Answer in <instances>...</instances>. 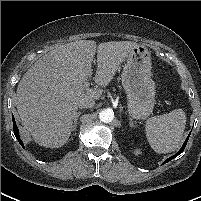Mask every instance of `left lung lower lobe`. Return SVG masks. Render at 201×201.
I'll return each instance as SVG.
<instances>
[{
	"label": "left lung lower lobe",
	"instance_id": "left-lung-lower-lobe-1",
	"mask_svg": "<svg viewBox=\"0 0 201 201\" xmlns=\"http://www.w3.org/2000/svg\"><path fill=\"white\" fill-rule=\"evenodd\" d=\"M190 134H191V132L189 133L188 137L186 138V140H185L184 144L182 145L181 149L174 156L169 157L168 159H166L165 162L162 163V165L167 163V162H169V161H171L172 159H174L175 157H177L178 155H180L184 151Z\"/></svg>",
	"mask_w": 201,
	"mask_h": 201
}]
</instances>
